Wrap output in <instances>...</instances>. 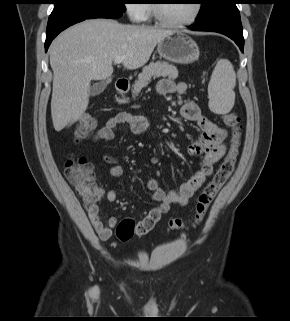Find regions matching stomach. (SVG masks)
<instances>
[{
    "instance_id": "obj_1",
    "label": "stomach",
    "mask_w": 290,
    "mask_h": 321,
    "mask_svg": "<svg viewBox=\"0 0 290 321\" xmlns=\"http://www.w3.org/2000/svg\"><path fill=\"white\" fill-rule=\"evenodd\" d=\"M160 57L177 64H190L199 58L197 43L186 33L173 31L158 43Z\"/></svg>"
}]
</instances>
